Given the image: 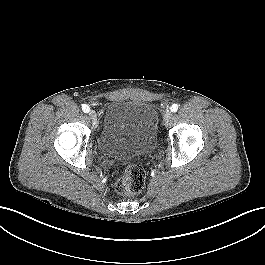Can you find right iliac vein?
I'll list each match as a JSON object with an SVG mask.
<instances>
[{"label": "right iliac vein", "instance_id": "1", "mask_svg": "<svg viewBox=\"0 0 265 265\" xmlns=\"http://www.w3.org/2000/svg\"><path fill=\"white\" fill-rule=\"evenodd\" d=\"M89 116H90V118H91V120H92V122H93V126H94V127H97V125H98V120H97V114H96V112L93 111V110H91V111L89 112Z\"/></svg>", "mask_w": 265, "mask_h": 265}]
</instances>
